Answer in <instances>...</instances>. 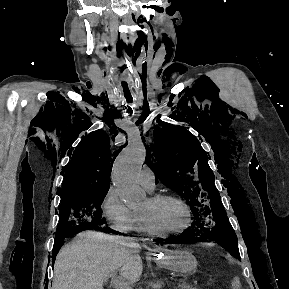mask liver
Listing matches in <instances>:
<instances>
[{
    "label": "liver",
    "mask_w": 289,
    "mask_h": 289,
    "mask_svg": "<svg viewBox=\"0 0 289 289\" xmlns=\"http://www.w3.org/2000/svg\"><path fill=\"white\" fill-rule=\"evenodd\" d=\"M139 248L124 247L101 232L85 231L75 243L59 251L52 289H103L104 281L114 271L133 284L143 270Z\"/></svg>",
    "instance_id": "liver-1"
}]
</instances>
